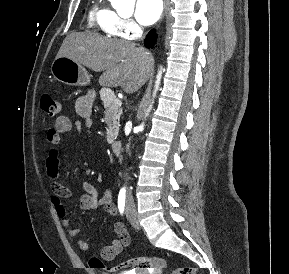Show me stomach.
<instances>
[{
	"mask_svg": "<svg viewBox=\"0 0 289 274\" xmlns=\"http://www.w3.org/2000/svg\"><path fill=\"white\" fill-rule=\"evenodd\" d=\"M50 70L53 77L64 84L86 86L90 83L86 69L68 57H56Z\"/></svg>",
	"mask_w": 289,
	"mask_h": 274,
	"instance_id": "0dacf381",
	"label": "stomach"
}]
</instances>
